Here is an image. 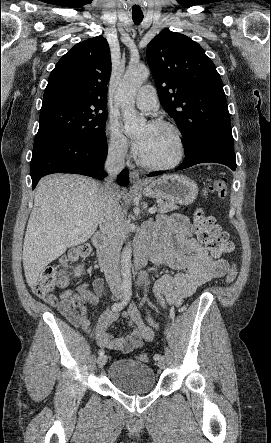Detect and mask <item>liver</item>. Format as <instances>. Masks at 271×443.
<instances>
[{
	"label": "liver",
	"mask_w": 271,
	"mask_h": 443,
	"mask_svg": "<svg viewBox=\"0 0 271 443\" xmlns=\"http://www.w3.org/2000/svg\"><path fill=\"white\" fill-rule=\"evenodd\" d=\"M99 186L92 178L77 174L40 180L23 245V267L30 287L67 247L84 243L95 233L103 214Z\"/></svg>",
	"instance_id": "1"
}]
</instances>
